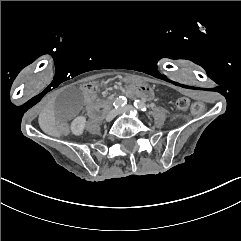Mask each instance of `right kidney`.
I'll use <instances>...</instances> for the list:
<instances>
[{
    "instance_id": "obj_1",
    "label": "right kidney",
    "mask_w": 241,
    "mask_h": 241,
    "mask_svg": "<svg viewBox=\"0 0 241 241\" xmlns=\"http://www.w3.org/2000/svg\"><path fill=\"white\" fill-rule=\"evenodd\" d=\"M87 119L85 116L80 115L74 118L70 124V131L72 135L79 137L82 136L86 129Z\"/></svg>"
}]
</instances>
